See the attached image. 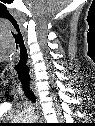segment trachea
Listing matches in <instances>:
<instances>
[{"label": "trachea", "mask_w": 95, "mask_h": 126, "mask_svg": "<svg viewBox=\"0 0 95 126\" xmlns=\"http://www.w3.org/2000/svg\"><path fill=\"white\" fill-rule=\"evenodd\" d=\"M17 73L19 80L22 84L25 96L32 102H35L36 97L30 88V75H29V67L27 66V57L21 56L17 64Z\"/></svg>", "instance_id": "trachea-1"}]
</instances>
